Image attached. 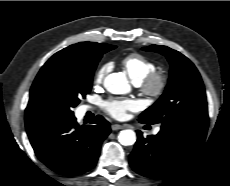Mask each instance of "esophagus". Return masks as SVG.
<instances>
[{
    "label": "esophagus",
    "mask_w": 230,
    "mask_h": 186,
    "mask_svg": "<svg viewBox=\"0 0 230 186\" xmlns=\"http://www.w3.org/2000/svg\"><path fill=\"white\" fill-rule=\"evenodd\" d=\"M111 128H112V130L117 131V130L123 129L124 126H123V125H120V124H113V125L111 126Z\"/></svg>",
    "instance_id": "34e87169"
}]
</instances>
